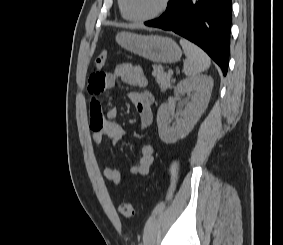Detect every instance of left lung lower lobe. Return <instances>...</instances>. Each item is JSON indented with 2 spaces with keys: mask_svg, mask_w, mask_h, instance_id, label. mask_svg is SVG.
Here are the masks:
<instances>
[{
  "mask_svg": "<svg viewBox=\"0 0 283 245\" xmlns=\"http://www.w3.org/2000/svg\"><path fill=\"white\" fill-rule=\"evenodd\" d=\"M232 0H170L166 11L145 25L173 31L201 47L226 75Z\"/></svg>",
  "mask_w": 283,
  "mask_h": 245,
  "instance_id": "1",
  "label": "left lung lower lobe"
}]
</instances>
